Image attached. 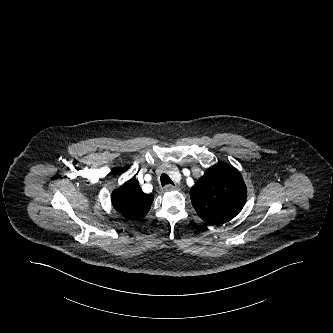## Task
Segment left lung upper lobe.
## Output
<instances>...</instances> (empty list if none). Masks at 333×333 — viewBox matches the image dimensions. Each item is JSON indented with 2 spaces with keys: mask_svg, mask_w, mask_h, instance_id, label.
Returning <instances> with one entry per match:
<instances>
[{
  "mask_svg": "<svg viewBox=\"0 0 333 333\" xmlns=\"http://www.w3.org/2000/svg\"><path fill=\"white\" fill-rule=\"evenodd\" d=\"M192 205L210 225L230 221L243 208L247 189L240 172L226 163L210 167L190 190Z\"/></svg>",
  "mask_w": 333,
  "mask_h": 333,
  "instance_id": "obj_1",
  "label": "left lung upper lobe"
}]
</instances>
